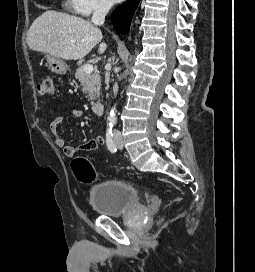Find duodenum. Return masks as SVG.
Instances as JSON below:
<instances>
[{
	"mask_svg": "<svg viewBox=\"0 0 255 272\" xmlns=\"http://www.w3.org/2000/svg\"><path fill=\"white\" fill-rule=\"evenodd\" d=\"M104 110V102L103 101H95L93 106H92V111L99 115L102 114Z\"/></svg>",
	"mask_w": 255,
	"mask_h": 272,
	"instance_id": "duodenum-1",
	"label": "duodenum"
}]
</instances>
